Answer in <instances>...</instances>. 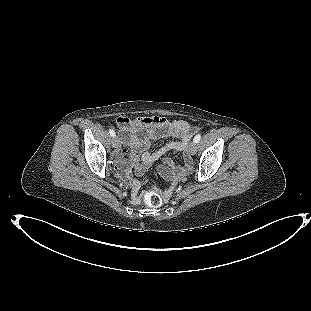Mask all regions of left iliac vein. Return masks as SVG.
<instances>
[{
	"instance_id": "4c4485c4",
	"label": "left iliac vein",
	"mask_w": 311,
	"mask_h": 311,
	"mask_svg": "<svg viewBox=\"0 0 311 311\" xmlns=\"http://www.w3.org/2000/svg\"><path fill=\"white\" fill-rule=\"evenodd\" d=\"M188 151L190 154L194 155L197 151V146H196V143L193 141L189 144L188 146Z\"/></svg>"
}]
</instances>
